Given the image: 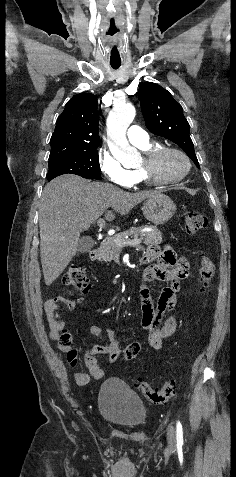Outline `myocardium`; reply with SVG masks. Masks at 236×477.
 Wrapping results in <instances>:
<instances>
[{
  "instance_id": "obj_1",
  "label": "myocardium",
  "mask_w": 236,
  "mask_h": 477,
  "mask_svg": "<svg viewBox=\"0 0 236 477\" xmlns=\"http://www.w3.org/2000/svg\"><path fill=\"white\" fill-rule=\"evenodd\" d=\"M168 154H176L180 156L186 164L185 170L182 174L172 178H162L158 175V168L163 157ZM143 175L145 182L156 185H168L175 184L182 181L190 172L191 161L188 155L182 150L169 147V146H157L145 153L142 164L138 168Z\"/></svg>"
}]
</instances>
